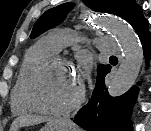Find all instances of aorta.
Masks as SVG:
<instances>
[{"mask_svg": "<svg viewBox=\"0 0 151 131\" xmlns=\"http://www.w3.org/2000/svg\"><path fill=\"white\" fill-rule=\"evenodd\" d=\"M96 24L113 34L121 47L123 60L108 86L109 95L118 97L134 84L142 66L143 50L133 29L125 21L107 16L97 19Z\"/></svg>", "mask_w": 151, "mask_h": 131, "instance_id": "762f6f07", "label": "aorta"}]
</instances>
